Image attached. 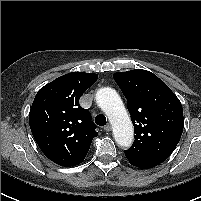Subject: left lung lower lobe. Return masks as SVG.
<instances>
[{"label": "left lung lower lobe", "instance_id": "left-lung-lower-lobe-1", "mask_svg": "<svg viewBox=\"0 0 201 201\" xmlns=\"http://www.w3.org/2000/svg\"><path fill=\"white\" fill-rule=\"evenodd\" d=\"M134 166H137V165H134ZM137 167L143 168V169H148V168H152V167H154V166H137Z\"/></svg>", "mask_w": 201, "mask_h": 201}]
</instances>
